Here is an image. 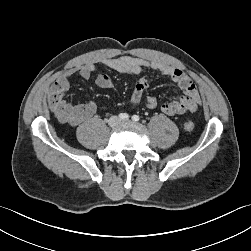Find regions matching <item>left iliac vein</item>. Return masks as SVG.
<instances>
[{
    "label": "left iliac vein",
    "mask_w": 251,
    "mask_h": 251,
    "mask_svg": "<svg viewBox=\"0 0 251 251\" xmlns=\"http://www.w3.org/2000/svg\"><path fill=\"white\" fill-rule=\"evenodd\" d=\"M127 122H129V120H123V121H122V123H127Z\"/></svg>",
    "instance_id": "4c4485c4"
}]
</instances>
